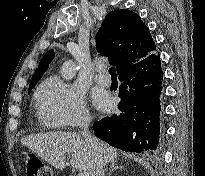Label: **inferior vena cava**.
Listing matches in <instances>:
<instances>
[{"label": "inferior vena cava", "instance_id": "1", "mask_svg": "<svg viewBox=\"0 0 205 176\" xmlns=\"http://www.w3.org/2000/svg\"><path fill=\"white\" fill-rule=\"evenodd\" d=\"M90 118L86 117L81 122L82 136L85 142L89 145L95 155L96 171L94 176H104V160L101 153V149L96 141V139L89 132Z\"/></svg>", "mask_w": 205, "mask_h": 176}]
</instances>
